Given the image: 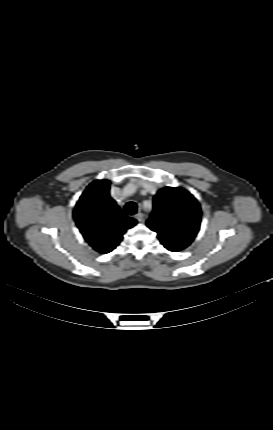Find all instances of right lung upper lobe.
Listing matches in <instances>:
<instances>
[{
  "instance_id": "right-lung-upper-lobe-1",
  "label": "right lung upper lobe",
  "mask_w": 273,
  "mask_h": 430,
  "mask_svg": "<svg viewBox=\"0 0 273 430\" xmlns=\"http://www.w3.org/2000/svg\"><path fill=\"white\" fill-rule=\"evenodd\" d=\"M110 181L96 180L83 192L74 208V220L94 250L106 254L122 240L125 231L137 224L127 217L109 195Z\"/></svg>"
}]
</instances>
